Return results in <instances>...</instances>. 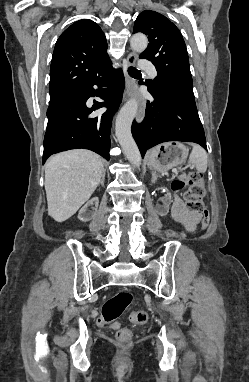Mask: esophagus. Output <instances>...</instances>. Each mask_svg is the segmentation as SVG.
<instances>
[{"mask_svg": "<svg viewBox=\"0 0 249 382\" xmlns=\"http://www.w3.org/2000/svg\"><path fill=\"white\" fill-rule=\"evenodd\" d=\"M136 60H137V54L134 52L130 53L126 59V63L124 66V73H125V80H126V89H125L124 99H127L132 96H136L137 94V85L128 74V67L135 65ZM144 114H145V102L144 100L139 99V107H138V112L136 115V121L138 123H140L143 120Z\"/></svg>", "mask_w": 249, "mask_h": 382, "instance_id": "esophagus-1", "label": "esophagus"}]
</instances>
